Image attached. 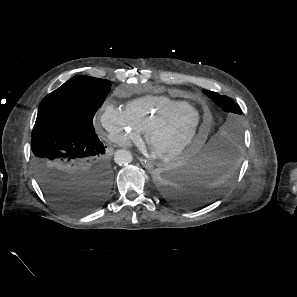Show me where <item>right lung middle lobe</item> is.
Here are the masks:
<instances>
[{
  "instance_id": "dd1d6c3e",
  "label": "right lung middle lobe",
  "mask_w": 297,
  "mask_h": 297,
  "mask_svg": "<svg viewBox=\"0 0 297 297\" xmlns=\"http://www.w3.org/2000/svg\"><path fill=\"white\" fill-rule=\"evenodd\" d=\"M110 87V82L103 79L84 75L71 78L42 100L32 133L58 125H77L95 131L93 117Z\"/></svg>"
}]
</instances>
